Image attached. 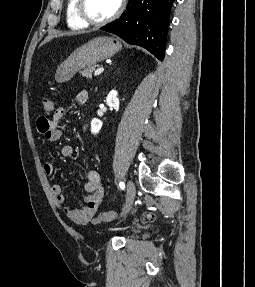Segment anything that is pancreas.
<instances>
[{"label":"pancreas","mask_w":255,"mask_h":287,"mask_svg":"<svg viewBox=\"0 0 255 287\" xmlns=\"http://www.w3.org/2000/svg\"><path fill=\"white\" fill-rule=\"evenodd\" d=\"M96 68H98V66H91V68H84V70H82V72H80V74H82V76H84V78H91L93 72H95Z\"/></svg>","instance_id":"pancreas-1"}]
</instances>
